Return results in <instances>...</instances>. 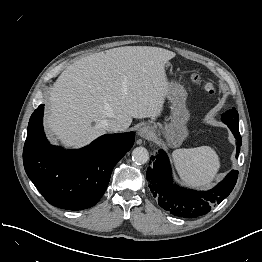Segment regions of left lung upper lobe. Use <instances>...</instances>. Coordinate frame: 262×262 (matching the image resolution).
<instances>
[{
    "label": "left lung upper lobe",
    "instance_id": "5c2ea615",
    "mask_svg": "<svg viewBox=\"0 0 262 262\" xmlns=\"http://www.w3.org/2000/svg\"><path fill=\"white\" fill-rule=\"evenodd\" d=\"M222 121L228 125H234L239 126V120H238V112L235 108H232L231 110H228L226 113L222 115Z\"/></svg>",
    "mask_w": 262,
    "mask_h": 262
}]
</instances>
